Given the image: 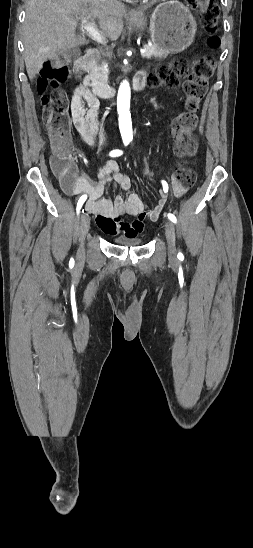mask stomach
I'll return each mask as SVG.
<instances>
[{"label": "stomach", "instance_id": "0dacf381", "mask_svg": "<svg viewBox=\"0 0 253 548\" xmlns=\"http://www.w3.org/2000/svg\"><path fill=\"white\" fill-rule=\"evenodd\" d=\"M132 25L142 32L146 28V18L132 19ZM149 33L152 43L168 53H179L193 42L196 22L190 10L177 0L159 4L150 17Z\"/></svg>", "mask_w": 253, "mask_h": 548}]
</instances>
